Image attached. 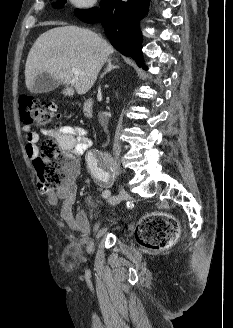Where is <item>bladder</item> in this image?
Returning <instances> with one entry per match:
<instances>
[{"label":"bladder","mask_w":233,"mask_h":328,"mask_svg":"<svg viewBox=\"0 0 233 328\" xmlns=\"http://www.w3.org/2000/svg\"><path fill=\"white\" fill-rule=\"evenodd\" d=\"M88 203L93 207V203L90 200H88Z\"/></svg>","instance_id":"31cf9c89"}]
</instances>
